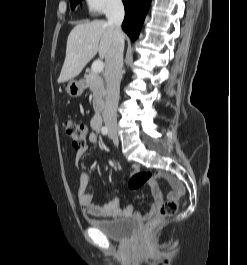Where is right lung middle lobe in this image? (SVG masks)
Instances as JSON below:
<instances>
[{
  "instance_id": "obj_1",
  "label": "right lung middle lobe",
  "mask_w": 247,
  "mask_h": 265,
  "mask_svg": "<svg viewBox=\"0 0 247 265\" xmlns=\"http://www.w3.org/2000/svg\"><path fill=\"white\" fill-rule=\"evenodd\" d=\"M81 2V0H70V4L72 9L75 8V6L77 5V3Z\"/></svg>"
}]
</instances>
